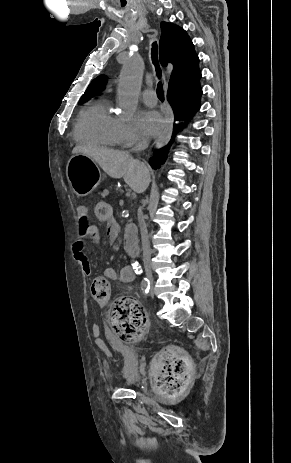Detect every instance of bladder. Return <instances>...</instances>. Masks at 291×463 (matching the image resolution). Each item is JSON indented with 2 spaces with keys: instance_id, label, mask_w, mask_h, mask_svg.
Masks as SVG:
<instances>
[{
  "instance_id": "1",
  "label": "bladder",
  "mask_w": 291,
  "mask_h": 463,
  "mask_svg": "<svg viewBox=\"0 0 291 463\" xmlns=\"http://www.w3.org/2000/svg\"><path fill=\"white\" fill-rule=\"evenodd\" d=\"M117 353L122 356L125 363V369L121 374V379L128 386H136L139 384V378L136 374V366L139 363L137 350L133 345L125 343L116 344Z\"/></svg>"
}]
</instances>
